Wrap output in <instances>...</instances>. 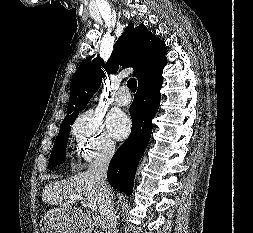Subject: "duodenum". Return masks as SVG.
<instances>
[{
	"instance_id": "1",
	"label": "duodenum",
	"mask_w": 253,
	"mask_h": 233,
	"mask_svg": "<svg viewBox=\"0 0 253 233\" xmlns=\"http://www.w3.org/2000/svg\"><path fill=\"white\" fill-rule=\"evenodd\" d=\"M91 221H92L93 223H101V219H100L99 216L93 217V218L91 219Z\"/></svg>"
}]
</instances>
